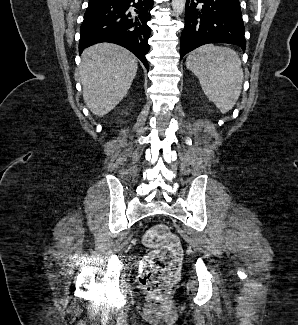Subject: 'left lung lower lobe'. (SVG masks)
I'll return each mask as SVG.
<instances>
[{
	"mask_svg": "<svg viewBox=\"0 0 298 325\" xmlns=\"http://www.w3.org/2000/svg\"><path fill=\"white\" fill-rule=\"evenodd\" d=\"M244 33L239 0H186L180 59L208 43L236 44L245 50Z\"/></svg>",
	"mask_w": 298,
	"mask_h": 325,
	"instance_id": "0a47b994",
	"label": "left lung lower lobe"
}]
</instances>
